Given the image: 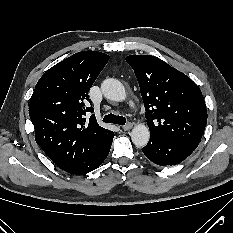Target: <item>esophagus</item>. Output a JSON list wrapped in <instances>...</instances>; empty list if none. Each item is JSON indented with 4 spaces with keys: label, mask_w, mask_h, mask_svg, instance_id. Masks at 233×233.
<instances>
[{
    "label": "esophagus",
    "mask_w": 233,
    "mask_h": 233,
    "mask_svg": "<svg viewBox=\"0 0 233 233\" xmlns=\"http://www.w3.org/2000/svg\"><path fill=\"white\" fill-rule=\"evenodd\" d=\"M132 126H133V124L132 123H127L126 125H124L123 127H122V129L124 130V131H128V130H130L131 128H132Z\"/></svg>",
    "instance_id": "esophagus-1"
}]
</instances>
